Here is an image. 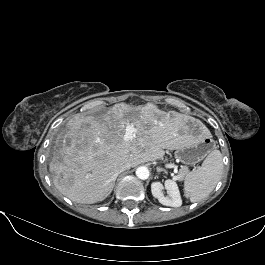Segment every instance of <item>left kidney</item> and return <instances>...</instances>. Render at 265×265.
Here are the masks:
<instances>
[{"instance_id":"obj_1","label":"left kidney","mask_w":265,"mask_h":265,"mask_svg":"<svg viewBox=\"0 0 265 265\" xmlns=\"http://www.w3.org/2000/svg\"><path fill=\"white\" fill-rule=\"evenodd\" d=\"M163 188L161 182H153L151 185L152 195L165 206L180 207L182 205V199L177 183L170 179L165 181V189L168 194L166 197L163 194Z\"/></svg>"}]
</instances>
